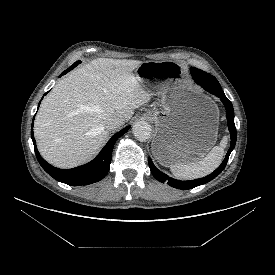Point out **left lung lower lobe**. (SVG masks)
<instances>
[{"label": "left lung lower lobe", "mask_w": 275, "mask_h": 275, "mask_svg": "<svg viewBox=\"0 0 275 275\" xmlns=\"http://www.w3.org/2000/svg\"><path fill=\"white\" fill-rule=\"evenodd\" d=\"M190 70H191V74H192V77L195 80V82L197 84H199L200 86H202L208 92L219 97L220 100L222 101V103L224 104L225 109H226L227 124H228V128H229V131L231 134V146H230V149L228 150L222 164L213 173H211L210 175H208L204 178L195 179L192 181H179V180L170 178L163 172L159 171L154 166L151 158H148L150 170H151L153 176L158 181H160L162 183L166 182L168 185H170L174 188H177V189H182V190L192 189L199 185L205 184V183L211 181L212 179H214L216 176H218L225 168L227 161L229 159V155L235 147L236 138H237L236 127L234 124V110H233L232 103L226 98L221 87H216V84L214 83L215 77L212 76L211 74L206 73V72L199 70L197 68L191 67Z\"/></svg>", "instance_id": "left-lung-lower-lobe-1"}]
</instances>
